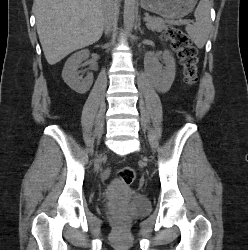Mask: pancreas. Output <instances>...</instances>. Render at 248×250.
<instances>
[{
    "instance_id": "obj_1",
    "label": "pancreas",
    "mask_w": 248,
    "mask_h": 250,
    "mask_svg": "<svg viewBox=\"0 0 248 250\" xmlns=\"http://www.w3.org/2000/svg\"><path fill=\"white\" fill-rule=\"evenodd\" d=\"M169 24V21L163 20L162 18L159 17H151L149 21H147V28L152 30V31H162L164 29H167V25Z\"/></svg>"
}]
</instances>
